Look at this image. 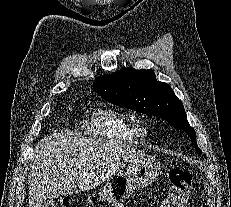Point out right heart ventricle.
Returning a JSON list of instances; mask_svg holds the SVG:
<instances>
[{
	"instance_id": "right-heart-ventricle-1",
	"label": "right heart ventricle",
	"mask_w": 231,
	"mask_h": 207,
	"mask_svg": "<svg viewBox=\"0 0 231 207\" xmlns=\"http://www.w3.org/2000/svg\"><path fill=\"white\" fill-rule=\"evenodd\" d=\"M85 130L91 135L108 140L136 142L141 131L128 114L107 105L96 106L88 115Z\"/></svg>"
}]
</instances>
